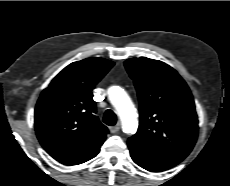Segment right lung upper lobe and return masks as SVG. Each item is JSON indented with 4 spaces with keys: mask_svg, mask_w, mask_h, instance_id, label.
<instances>
[{
    "mask_svg": "<svg viewBox=\"0 0 230 186\" xmlns=\"http://www.w3.org/2000/svg\"><path fill=\"white\" fill-rule=\"evenodd\" d=\"M87 58L65 67L43 90L35 108V130L42 147L65 165L95 157L108 133L95 116L92 89L113 67Z\"/></svg>",
    "mask_w": 230,
    "mask_h": 186,
    "instance_id": "right-lung-upper-lobe-1",
    "label": "right lung upper lobe"
}]
</instances>
